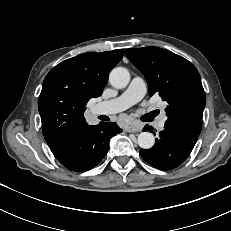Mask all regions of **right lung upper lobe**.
I'll list each match as a JSON object with an SVG mask.
<instances>
[{
  "label": "right lung upper lobe",
  "mask_w": 231,
  "mask_h": 231,
  "mask_svg": "<svg viewBox=\"0 0 231 231\" xmlns=\"http://www.w3.org/2000/svg\"><path fill=\"white\" fill-rule=\"evenodd\" d=\"M123 49L83 53L56 65L44 79L38 100L42 131L51 151L86 127L85 105L102 94Z\"/></svg>",
  "instance_id": "obj_1"
}]
</instances>
